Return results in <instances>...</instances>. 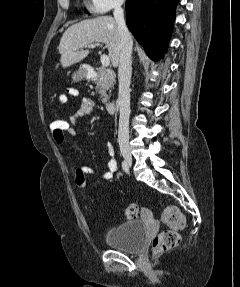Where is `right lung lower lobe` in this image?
<instances>
[{
  "instance_id": "1",
  "label": "right lung lower lobe",
  "mask_w": 240,
  "mask_h": 287,
  "mask_svg": "<svg viewBox=\"0 0 240 287\" xmlns=\"http://www.w3.org/2000/svg\"><path fill=\"white\" fill-rule=\"evenodd\" d=\"M178 0H126V22L153 60L163 57L172 31Z\"/></svg>"
}]
</instances>
